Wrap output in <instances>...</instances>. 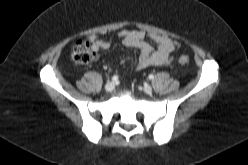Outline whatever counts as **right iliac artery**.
<instances>
[{"mask_svg":"<svg viewBox=\"0 0 248 165\" xmlns=\"http://www.w3.org/2000/svg\"><path fill=\"white\" fill-rule=\"evenodd\" d=\"M118 80V76L117 75H114L113 77H112V81H117Z\"/></svg>","mask_w":248,"mask_h":165,"instance_id":"obj_1","label":"right iliac artery"}]
</instances>
